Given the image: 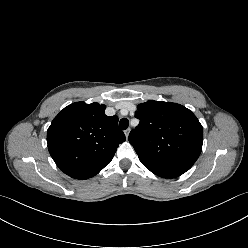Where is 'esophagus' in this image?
Wrapping results in <instances>:
<instances>
[{
    "label": "esophagus",
    "mask_w": 248,
    "mask_h": 248,
    "mask_svg": "<svg viewBox=\"0 0 248 248\" xmlns=\"http://www.w3.org/2000/svg\"><path fill=\"white\" fill-rule=\"evenodd\" d=\"M129 133H130V129L129 128L124 131V134H125L126 138H128Z\"/></svg>",
    "instance_id": "34e87169"
}]
</instances>
